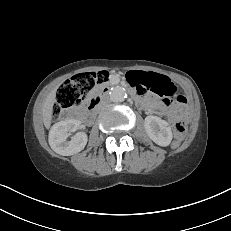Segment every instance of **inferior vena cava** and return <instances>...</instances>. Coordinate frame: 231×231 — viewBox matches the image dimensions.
Segmentation results:
<instances>
[{
    "label": "inferior vena cava",
    "mask_w": 231,
    "mask_h": 231,
    "mask_svg": "<svg viewBox=\"0 0 231 231\" xmlns=\"http://www.w3.org/2000/svg\"><path fill=\"white\" fill-rule=\"evenodd\" d=\"M108 104H109V99L107 97H105L103 99V101L101 102L100 106L104 107V106H107Z\"/></svg>",
    "instance_id": "602c4592"
}]
</instances>
